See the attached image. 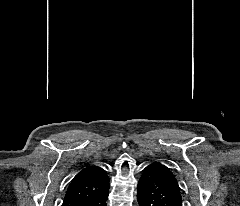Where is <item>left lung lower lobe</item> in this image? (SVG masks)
<instances>
[{"label": "left lung lower lobe", "instance_id": "left-lung-lower-lobe-1", "mask_svg": "<svg viewBox=\"0 0 240 206\" xmlns=\"http://www.w3.org/2000/svg\"><path fill=\"white\" fill-rule=\"evenodd\" d=\"M137 198L140 206H183L181 194L164 165H148L138 183Z\"/></svg>", "mask_w": 240, "mask_h": 206}]
</instances>
